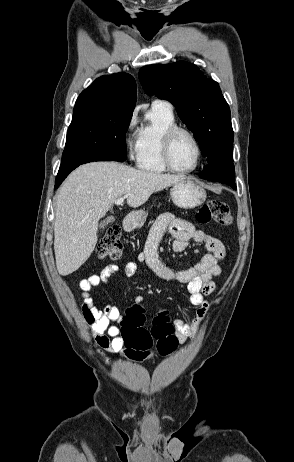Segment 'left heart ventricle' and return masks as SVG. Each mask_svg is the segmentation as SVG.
<instances>
[{"label":"left heart ventricle","mask_w":294,"mask_h":462,"mask_svg":"<svg viewBox=\"0 0 294 462\" xmlns=\"http://www.w3.org/2000/svg\"><path fill=\"white\" fill-rule=\"evenodd\" d=\"M196 155L197 151L193 141L185 134L177 135L171 149L173 164L180 169L190 168L195 163Z\"/></svg>","instance_id":"left-heart-ventricle-1"}]
</instances>
